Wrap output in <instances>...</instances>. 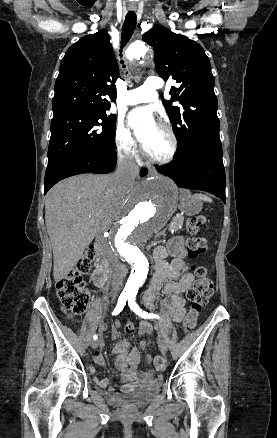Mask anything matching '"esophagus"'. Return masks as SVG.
<instances>
[{
  "instance_id": "34e87169",
  "label": "esophagus",
  "mask_w": 277,
  "mask_h": 438,
  "mask_svg": "<svg viewBox=\"0 0 277 438\" xmlns=\"http://www.w3.org/2000/svg\"><path fill=\"white\" fill-rule=\"evenodd\" d=\"M128 10L135 11V10H137V7H128ZM151 175H152V171L149 172L148 176H151Z\"/></svg>"
}]
</instances>
